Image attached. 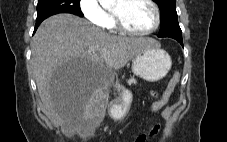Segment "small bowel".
<instances>
[{
	"label": "small bowel",
	"instance_id": "1",
	"mask_svg": "<svg viewBox=\"0 0 227 142\" xmlns=\"http://www.w3.org/2000/svg\"><path fill=\"white\" fill-rule=\"evenodd\" d=\"M154 97L157 98V94H154ZM160 130V125L159 124H155L149 132L147 133H142L138 138L136 142H147L149 139H152L156 136V134L159 132Z\"/></svg>",
	"mask_w": 227,
	"mask_h": 142
}]
</instances>
